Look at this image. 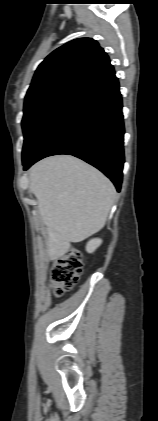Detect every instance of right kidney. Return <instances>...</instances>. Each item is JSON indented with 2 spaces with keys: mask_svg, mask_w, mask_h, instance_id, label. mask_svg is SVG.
I'll list each match as a JSON object with an SVG mask.
<instances>
[{
  "mask_svg": "<svg viewBox=\"0 0 158 421\" xmlns=\"http://www.w3.org/2000/svg\"><path fill=\"white\" fill-rule=\"evenodd\" d=\"M102 243L101 239H92L86 245V251L88 253H93Z\"/></svg>",
  "mask_w": 158,
  "mask_h": 421,
  "instance_id": "obj_1",
  "label": "right kidney"
}]
</instances>
